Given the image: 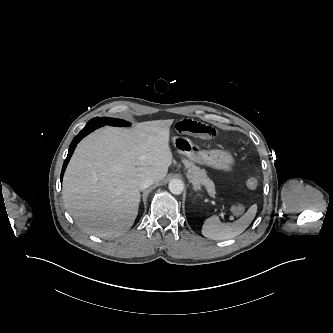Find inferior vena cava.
I'll use <instances>...</instances> for the list:
<instances>
[{"mask_svg":"<svg viewBox=\"0 0 333 333\" xmlns=\"http://www.w3.org/2000/svg\"><path fill=\"white\" fill-rule=\"evenodd\" d=\"M154 183L153 178L151 177H145L143 178L140 182H139V189L145 190L147 189L149 186H151Z\"/></svg>","mask_w":333,"mask_h":333,"instance_id":"1","label":"inferior vena cava"}]
</instances>
